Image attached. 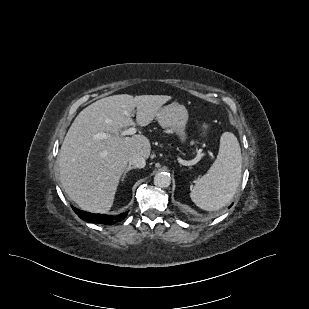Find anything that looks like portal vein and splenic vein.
<instances>
[{"mask_svg":"<svg viewBox=\"0 0 309 309\" xmlns=\"http://www.w3.org/2000/svg\"><path fill=\"white\" fill-rule=\"evenodd\" d=\"M134 133H136V129H135V128H129V129H127V130L122 131V135H123V136H125V135H132V134H134ZM95 137L98 138V139H102V138H105V137H106V134H105V133H98V134L95 135ZM196 159H197V160H200V159H201V155L198 154V155L196 156Z\"/></svg>","mask_w":309,"mask_h":309,"instance_id":"portal-vein-and-splenic-vein-1","label":"portal vein and splenic vein"}]
</instances>
